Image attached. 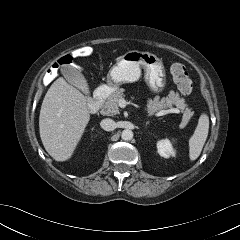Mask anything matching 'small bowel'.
I'll return each instance as SVG.
<instances>
[{"instance_id": "small-bowel-1", "label": "small bowel", "mask_w": 240, "mask_h": 240, "mask_svg": "<svg viewBox=\"0 0 240 240\" xmlns=\"http://www.w3.org/2000/svg\"><path fill=\"white\" fill-rule=\"evenodd\" d=\"M48 72H49V74H48V75H49V76H52V73H51V71L49 70Z\"/></svg>"}]
</instances>
